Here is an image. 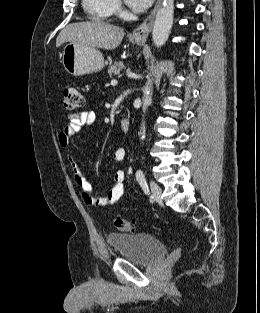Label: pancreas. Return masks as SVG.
<instances>
[{
  "label": "pancreas",
  "mask_w": 260,
  "mask_h": 313,
  "mask_svg": "<svg viewBox=\"0 0 260 313\" xmlns=\"http://www.w3.org/2000/svg\"><path fill=\"white\" fill-rule=\"evenodd\" d=\"M123 68H124V65L122 62L114 63L108 69L109 77L111 78L114 75H118Z\"/></svg>",
  "instance_id": "obj_1"
}]
</instances>
